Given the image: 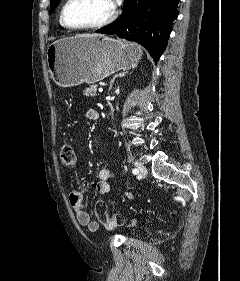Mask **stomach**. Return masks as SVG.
Instances as JSON below:
<instances>
[{"mask_svg": "<svg viewBox=\"0 0 240 281\" xmlns=\"http://www.w3.org/2000/svg\"><path fill=\"white\" fill-rule=\"evenodd\" d=\"M142 48L106 36L77 35L59 39L47 48L48 72L62 87L92 84L119 71L135 67Z\"/></svg>", "mask_w": 240, "mask_h": 281, "instance_id": "1", "label": "stomach"}]
</instances>
